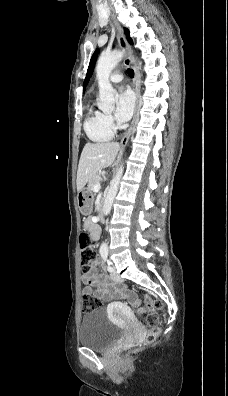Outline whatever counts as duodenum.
<instances>
[{"label": "duodenum", "mask_w": 228, "mask_h": 396, "mask_svg": "<svg viewBox=\"0 0 228 396\" xmlns=\"http://www.w3.org/2000/svg\"><path fill=\"white\" fill-rule=\"evenodd\" d=\"M99 219L101 221H104V206L103 205L99 208Z\"/></svg>", "instance_id": "410a0bca"}]
</instances>
